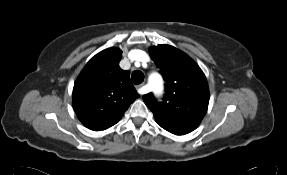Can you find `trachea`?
Returning <instances> with one entry per match:
<instances>
[{
    "instance_id": "obj_1",
    "label": "trachea",
    "mask_w": 287,
    "mask_h": 175,
    "mask_svg": "<svg viewBox=\"0 0 287 175\" xmlns=\"http://www.w3.org/2000/svg\"><path fill=\"white\" fill-rule=\"evenodd\" d=\"M132 82L136 85L140 84L144 80V74L140 70H136L131 75Z\"/></svg>"
}]
</instances>
